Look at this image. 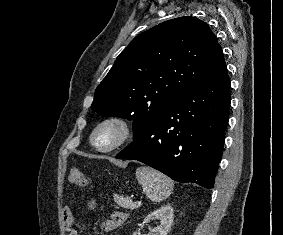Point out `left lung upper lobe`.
<instances>
[{
    "mask_svg": "<svg viewBox=\"0 0 283 235\" xmlns=\"http://www.w3.org/2000/svg\"><path fill=\"white\" fill-rule=\"evenodd\" d=\"M225 64L209 26L191 16L165 21L135 37L97 87L91 108L133 120L134 139L186 90Z\"/></svg>",
    "mask_w": 283,
    "mask_h": 235,
    "instance_id": "left-lung-upper-lobe-1",
    "label": "left lung upper lobe"
}]
</instances>
